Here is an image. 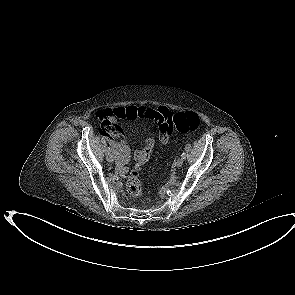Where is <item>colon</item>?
Returning a JSON list of instances; mask_svg holds the SVG:
<instances>
[{"mask_svg":"<svg viewBox=\"0 0 295 295\" xmlns=\"http://www.w3.org/2000/svg\"><path fill=\"white\" fill-rule=\"evenodd\" d=\"M135 118V117H134ZM201 125V119L195 112H185L172 114L169 113L160 123L158 124V130L160 132H172L174 130L186 133L197 130ZM147 148L136 155L138 163L131 171L127 182L126 188L129 195L133 198H140L143 194V188L139 179V171L141 166L150 158L152 151L156 149L155 138L148 136L146 138Z\"/></svg>","mask_w":295,"mask_h":295,"instance_id":"1","label":"colon"}]
</instances>
